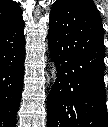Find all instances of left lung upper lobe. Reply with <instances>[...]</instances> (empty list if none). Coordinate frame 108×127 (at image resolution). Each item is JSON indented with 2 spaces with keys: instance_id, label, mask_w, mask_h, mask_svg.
<instances>
[{
  "instance_id": "obj_1",
  "label": "left lung upper lobe",
  "mask_w": 108,
  "mask_h": 127,
  "mask_svg": "<svg viewBox=\"0 0 108 127\" xmlns=\"http://www.w3.org/2000/svg\"><path fill=\"white\" fill-rule=\"evenodd\" d=\"M65 74L68 78V82L70 83V86L73 88L74 83L76 81V79H75V77H76V67H75V65H70Z\"/></svg>"
}]
</instances>
